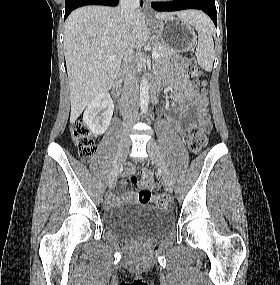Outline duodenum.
Returning a JSON list of instances; mask_svg holds the SVG:
<instances>
[{"instance_id":"1","label":"duodenum","mask_w":280,"mask_h":285,"mask_svg":"<svg viewBox=\"0 0 280 285\" xmlns=\"http://www.w3.org/2000/svg\"><path fill=\"white\" fill-rule=\"evenodd\" d=\"M151 94L154 100L158 101L161 96V86L159 83L152 81L151 83Z\"/></svg>"}]
</instances>
